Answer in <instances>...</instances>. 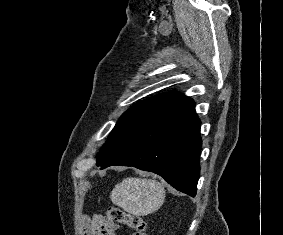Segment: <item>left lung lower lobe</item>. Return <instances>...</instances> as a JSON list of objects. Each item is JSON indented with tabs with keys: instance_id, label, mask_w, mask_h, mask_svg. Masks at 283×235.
Returning <instances> with one entry per match:
<instances>
[{
	"instance_id": "1",
	"label": "left lung lower lobe",
	"mask_w": 283,
	"mask_h": 235,
	"mask_svg": "<svg viewBox=\"0 0 283 235\" xmlns=\"http://www.w3.org/2000/svg\"><path fill=\"white\" fill-rule=\"evenodd\" d=\"M194 106L186 97L153 117L115 149L101 169L123 165L154 172L194 197L202 144Z\"/></svg>"
}]
</instances>
